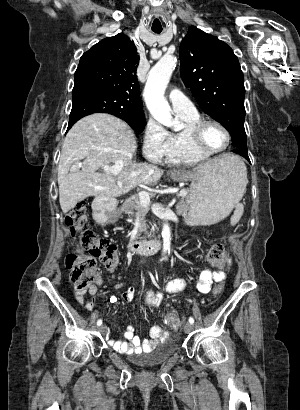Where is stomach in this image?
I'll list each match as a JSON object with an SVG mask.
<instances>
[{"instance_id": "obj_1", "label": "stomach", "mask_w": 300, "mask_h": 410, "mask_svg": "<svg viewBox=\"0 0 300 410\" xmlns=\"http://www.w3.org/2000/svg\"><path fill=\"white\" fill-rule=\"evenodd\" d=\"M224 165L196 168L173 176L175 180H191L188 223L212 225L226 218L241 199L245 188L243 174L233 159Z\"/></svg>"}]
</instances>
